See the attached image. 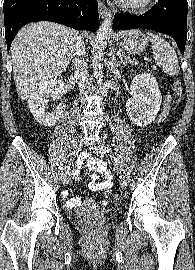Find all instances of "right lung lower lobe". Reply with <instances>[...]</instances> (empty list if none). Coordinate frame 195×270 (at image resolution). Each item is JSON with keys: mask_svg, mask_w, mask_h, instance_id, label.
I'll return each instance as SVG.
<instances>
[{"mask_svg": "<svg viewBox=\"0 0 195 270\" xmlns=\"http://www.w3.org/2000/svg\"><path fill=\"white\" fill-rule=\"evenodd\" d=\"M3 12L8 51L19 29L30 22L52 21L93 32L99 27L95 0H4Z\"/></svg>", "mask_w": 195, "mask_h": 270, "instance_id": "1", "label": "right lung lower lobe"}]
</instances>
